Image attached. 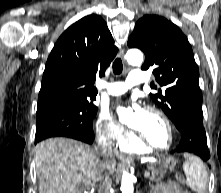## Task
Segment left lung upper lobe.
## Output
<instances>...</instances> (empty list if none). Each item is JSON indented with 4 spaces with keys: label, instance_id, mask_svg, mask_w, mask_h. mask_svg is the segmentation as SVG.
<instances>
[{
    "label": "left lung upper lobe",
    "instance_id": "left-lung-upper-lobe-1",
    "mask_svg": "<svg viewBox=\"0 0 221 193\" xmlns=\"http://www.w3.org/2000/svg\"><path fill=\"white\" fill-rule=\"evenodd\" d=\"M130 48L145 53L142 70H153L165 93L150 94L180 131L189 119L191 108L202 106L199 71L193 51L182 31L158 15H145L135 25L128 39Z\"/></svg>",
    "mask_w": 221,
    "mask_h": 193
}]
</instances>
